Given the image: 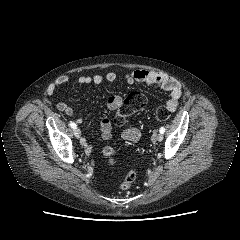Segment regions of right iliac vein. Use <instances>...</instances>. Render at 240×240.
Here are the masks:
<instances>
[{
  "label": "right iliac vein",
  "instance_id": "1",
  "mask_svg": "<svg viewBox=\"0 0 240 240\" xmlns=\"http://www.w3.org/2000/svg\"><path fill=\"white\" fill-rule=\"evenodd\" d=\"M74 135H75L76 138H80V136H81V131H80L79 128H75V129H74Z\"/></svg>",
  "mask_w": 240,
  "mask_h": 240
}]
</instances>
